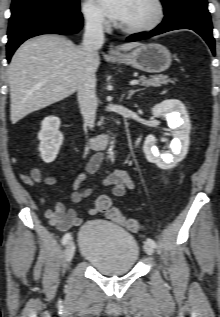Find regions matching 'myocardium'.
Returning a JSON list of instances; mask_svg holds the SVG:
<instances>
[{"mask_svg":"<svg viewBox=\"0 0 220 317\" xmlns=\"http://www.w3.org/2000/svg\"><path fill=\"white\" fill-rule=\"evenodd\" d=\"M155 7V15L153 19L145 24L138 26H124L121 25L120 28L123 32L128 34H142L157 28L164 19L165 16V5L162 0H151Z\"/></svg>","mask_w":220,"mask_h":317,"instance_id":"myocardium-1","label":"myocardium"}]
</instances>
